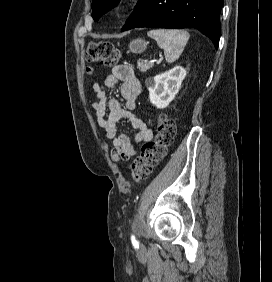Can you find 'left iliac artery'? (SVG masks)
<instances>
[{
    "mask_svg": "<svg viewBox=\"0 0 272 282\" xmlns=\"http://www.w3.org/2000/svg\"><path fill=\"white\" fill-rule=\"evenodd\" d=\"M131 240L133 244H138V241L135 239L134 235L131 236Z\"/></svg>",
    "mask_w": 272,
    "mask_h": 282,
    "instance_id": "obj_1",
    "label": "left iliac artery"
}]
</instances>
